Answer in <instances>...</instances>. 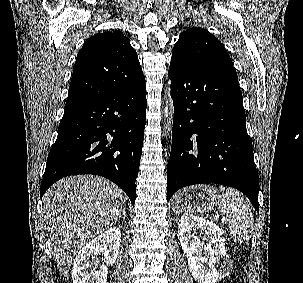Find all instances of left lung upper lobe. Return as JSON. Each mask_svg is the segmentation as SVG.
<instances>
[{"instance_id":"left-lung-upper-lobe-1","label":"left lung upper lobe","mask_w":303,"mask_h":283,"mask_svg":"<svg viewBox=\"0 0 303 283\" xmlns=\"http://www.w3.org/2000/svg\"><path fill=\"white\" fill-rule=\"evenodd\" d=\"M171 60L188 66L213 63L233 66L222 43L207 30L195 27L181 32L174 45Z\"/></svg>"}]
</instances>
